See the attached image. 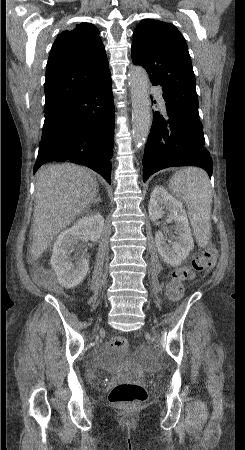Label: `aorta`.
Here are the masks:
<instances>
[{
    "instance_id": "1",
    "label": "aorta",
    "mask_w": 245,
    "mask_h": 450,
    "mask_svg": "<svg viewBox=\"0 0 245 450\" xmlns=\"http://www.w3.org/2000/svg\"><path fill=\"white\" fill-rule=\"evenodd\" d=\"M132 102V134L136 147L142 146L151 127L149 78L144 68L133 66L128 72Z\"/></svg>"
}]
</instances>
